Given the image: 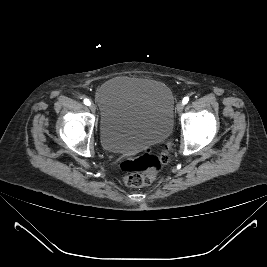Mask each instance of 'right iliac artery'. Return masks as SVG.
<instances>
[{
    "label": "right iliac artery",
    "mask_w": 267,
    "mask_h": 267,
    "mask_svg": "<svg viewBox=\"0 0 267 267\" xmlns=\"http://www.w3.org/2000/svg\"><path fill=\"white\" fill-rule=\"evenodd\" d=\"M84 103L88 106L90 105V101L88 99H84Z\"/></svg>",
    "instance_id": "1"
}]
</instances>
